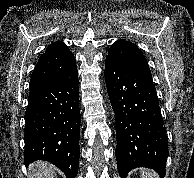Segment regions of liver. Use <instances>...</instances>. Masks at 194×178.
Instances as JSON below:
<instances>
[{"label":"liver","instance_id":"6515ba94","mask_svg":"<svg viewBox=\"0 0 194 178\" xmlns=\"http://www.w3.org/2000/svg\"><path fill=\"white\" fill-rule=\"evenodd\" d=\"M30 178H55V168L48 162L37 161L29 168Z\"/></svg>","mask_w":194,"mask_h":178}]
</instances>
